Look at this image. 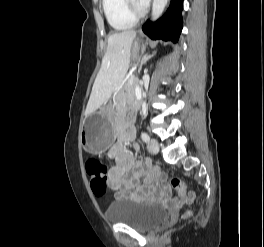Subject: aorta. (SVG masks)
<instances>
[{
    "instance_id": "1",
    "label": "aorta",
    "mask_w": 264,
    "mask_h": 247,
    "mask_svg": "<svg viewBox=\"0 0 264 247\" xmlns=\"http://www.w3.org/2000/svg\"><path fill=\"white\" fill-rule=\"evenodd\" d=\"M167 3H168V0H153V4H152V20L153 21L157 20L161 16Z\"/></svg>"
}]
</instances>
